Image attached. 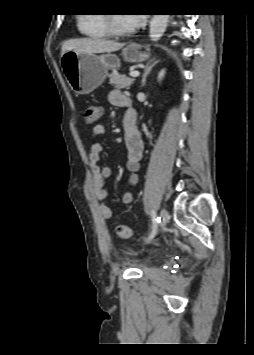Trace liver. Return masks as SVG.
<instances>
[{"label": "liver", "instance_id": "liver-1", "mask_svg": "<svg viewBox=\"0 0 254 355\" xmlns=\"http://www.w3.org/2000/svg\"><path fill=\"white\" fill-rule=\"evenodd\" d=\"M125 44L95 38L70 39L63 43L61 56L67 51L78 53H104L121 49Z\"/></svg>", "mask_w": 254, "mask_h": 355}]
</instances>
